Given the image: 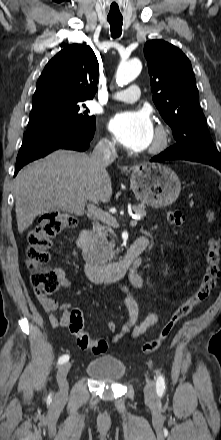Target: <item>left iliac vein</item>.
<instances>
[{"label": "left iliac vein", "mask_w": 221, "mask_h": 440, "mask_svg": "<svg viewBox=\"0 0 221 440\" xmlns=\"http://www.w3.org/2000/svg\"><path fill=\"white\" fill-rule=\"evenodd\" d=\"M144 395L148 400H154L156 398V387L154 381L150 380L147 382L144 388Z\"/></svg>", "instance_id": "4c4485c4"}]
</instances>
